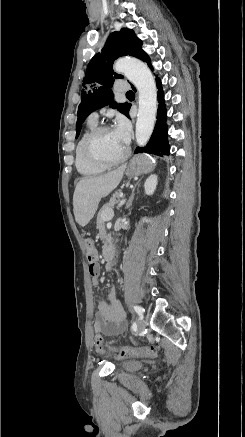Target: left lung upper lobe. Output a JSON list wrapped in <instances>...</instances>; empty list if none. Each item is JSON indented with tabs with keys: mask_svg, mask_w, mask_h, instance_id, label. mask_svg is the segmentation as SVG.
Listing matches in <instances>:
<instances>
[{
	"mask_svg": "<svg viewBox=\"0 0 245 437\" xmlns=\"http://www.w3.org/2000/svg\"><path fill=\"white\" fill-rule=\"evenodd\" d=\"M145 52L142 50V41L138 39L133 30L124 28L120 32H113L108 37L101 53L96 54L88 64L81 102L78 106V120L76 123V138L79 136L82 123L87 116L105 105L118 109L127 114L130 104H118L113 101L111 87L115 78H123L113 71V62L121 56H134L141 58Z\"/></svg>",
	"mask_w": 245,
	"mask_h": 437,
	"instance_id": "obj_1",
	"label": "left lung upper lobe"
}]
</instances>
